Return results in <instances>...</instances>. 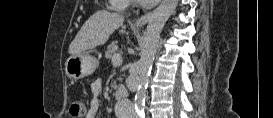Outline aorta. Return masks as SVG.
I'll return each instance as SVG.
<instances>
[{
  "mask_svg": "<svg viewBox=\"0 0 273 118\" xmlns=\"http://www.w3.org/2000/svg\"><path fill=\"white\" fill-rule=\"evenodd\" d=\"M178 5V0H163L153 12L145 32L140 58L139 85L135 96V110L144 113L145 92L151 67L158 49L161 31Z\"/></svg>",
  "mask_w": 273,
  "mask_h": 118,
  "instance_id": "1",
  "label": "aorta"
}]
</instances>
